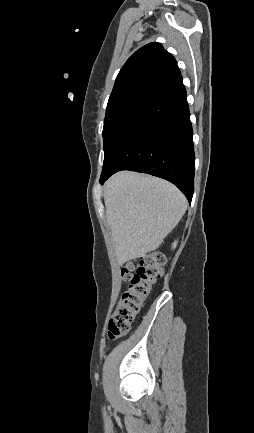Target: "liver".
Segmentation results:
<instances>
[{"instance_id":"6515ba94","label":"liver","mask_w":254,"mask_h":433,"mask_svg":"<svg viewBox=\"0 0 254 433\" xmlns=\"http://www.w3.org/2000/svg\"><path fill=\"white\" fill-rule=\"evenodd\" d=\"M104 201L120 266L156 250L187 209L173 184L128 171L106 183Z\"/></svg>"}]
</instances>
